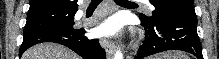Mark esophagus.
<instances>
[{
	"mask_svg": "<svg viewBox=\"0 0 219 59\" xmlns=\"http://www.w3.org/2000/svg\"><path fill=\"white\" fill-rule=\"evenodd\" d=\"M101 43L105 47L107 58L110 59L111 56L114 54V51H115L114 44L111 41L107 40V39H102Z\"/></svg>",
	"mask_w": 219,
	"mask_h": 59,
	"instance_id": "34e87169",
	"label": "esophagus"
}]
</instances>
